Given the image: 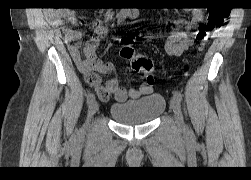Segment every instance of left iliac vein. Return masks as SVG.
Listing matches in <instances>:
<instances>
[{"label": "left iliac vein", "instance_id": "left-iliac-vein-1", "mask_svg": "<svg viewBox=\"0 0 251 180\" xmlns=\"http://www.w3.org/2000/svg\"><path fill=\"white\" fill-rule=\"evenodd\" d=\"M170 105L173 110L177 124L179 125V127L184 128L185 125L179 102L175 98H172L170 101Z\"/></svg>", "mask_w": 251, "mask_h": 180}]
</instances>
